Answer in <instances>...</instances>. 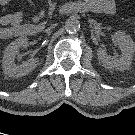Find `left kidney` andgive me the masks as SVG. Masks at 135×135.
Wrapping results in <instances>:
<instances>
[{
  "instance_id": "1",
  "label": "left kidney",
  "mask_w": 135,
  "mask_h": 135,
  "mask_svg": "<svg viewBox=\"0 0 135 135\" xmlns=\"http://www.w3.org/2000/svg\"><path fill=\"white\" fill-rule=\"evenodd\" d=\"M114 40L122 51V56L119 59L111 58L106 49L99 48L97 50L98 60L102 62L106 69H127L132 63L133 54L135 52V43L129 35L121 31L114 34Z\"/></svg>"
}]
</instances>
